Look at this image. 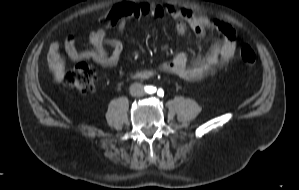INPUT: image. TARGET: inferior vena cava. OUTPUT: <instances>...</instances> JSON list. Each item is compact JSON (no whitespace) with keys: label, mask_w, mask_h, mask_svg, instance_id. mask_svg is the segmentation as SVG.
Masks as SVG:
<instances>
[{"label":"inferior vena cava","mask_w":299,"mask_h":190,"mask_svg":"<svg viewBox=\"0 0 299 190\" xmlns=\"http://www.w3.org/2000/svg\"><path fill=\"white\" fill-rule=\"evenodd\" d=\"M130 93L133 96H143L145 94V91L142 85L136 83L130 87Z\"/></svg>","instance_id":"602c4592"}]
</instances>
